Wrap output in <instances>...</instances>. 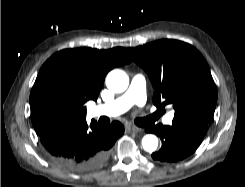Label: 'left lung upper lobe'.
<instances>
[{"label":"left lung upper lobe","mask_w":245,"mask_h":187,"mask_svg":"<svg viewBox=\"0 0 245 187\" xmlns=\"http://www.w3.org/2000/svg\"><path fill=\"white\" fill-rule=\"evenodd\" d=\"M127 51L148 73L155 89L154 105L174 109L173 123H210L217 89L206 60L196 48L166 39Z\"/></svg>","instance_id":"5c2ea615"}]
</instances>
